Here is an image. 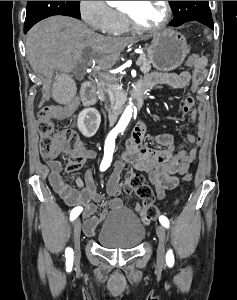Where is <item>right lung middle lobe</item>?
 Segmentation results:
<instances>
[{
    "mask_svg": "<svg viewBox=\"0 0 237 300\" xmlns=\"http://www.w3.org/2000/svg\"><path fill=\"white\" fill-rule=\"evenodd\" d=\"M54 15L81 17L78 1H28L24 25L33 26L38 21Z\"/></svg>",
    "mask_w": 237,
    "mask_h": 300,
    "instance_id": "right-lung-middle-lobe-1",
    "label": "right lung middle lobe"
}]
</instances>
